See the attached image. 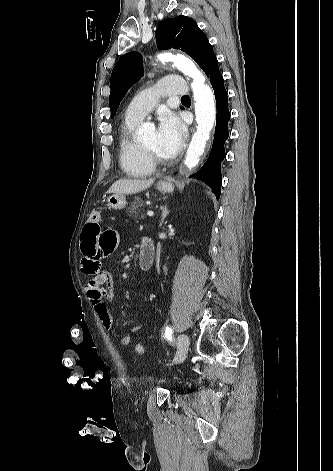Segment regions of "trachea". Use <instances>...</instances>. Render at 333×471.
<instances>
[{"label":"trachea","mask_w":333,"mask_h":471,"mask_svg":"<svg viewBox=\"0 0 333 471\" xmlns=\"http://www.w3.org/2000/svg\"><path fill=\"white\" fill-rule=\"evenodd\" d=\"M181 99H190L188 95L183 96Z\"/></svg>","instance_id":"1"}]
</instances>
